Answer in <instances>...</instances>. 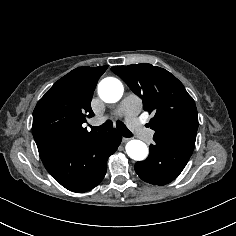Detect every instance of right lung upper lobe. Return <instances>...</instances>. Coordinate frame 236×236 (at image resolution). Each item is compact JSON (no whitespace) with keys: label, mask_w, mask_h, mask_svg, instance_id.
Listing matches in <instances>:
<instances>
[{"label":"right lung upper lobe","mask_w":236,"mask_h":236,"mask_svg":"<svg viewBox=\"0 0 236 236\" xmlns=\"http://www.w3.org/2000/svg\"><path fill=\"white\" fill-rule=\"evenodd\" d=\"M108 66L79 67L59 79L39 100L33 112L32 133L40 157L62 146L99 133L82 124L94 116L93 91Z\"/></svg>","instance_id":"1"}]
</instances>
